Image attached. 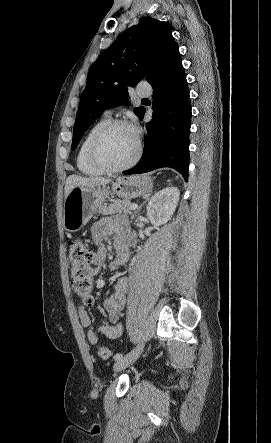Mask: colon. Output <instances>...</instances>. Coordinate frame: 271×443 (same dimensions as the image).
Listing matches in <instances>:
<instances>
[{
    "label": "colon",
    "instance_id": "obj_1",
    "mask_svg": "<svg viewBox=\"0 0 271 443\" xmlns=\"http://www.w3.org/2000/svg\"><path fill=\"white\" fill-rule=\"evenodd\" d=\"M68 259L70 263V274L74 292L82 298L84 304L93 303V269L92 263L94 253L89 242L73 239L68 243ZM97 354L102 359L111 358V351L103 346L97 347Z\"/></svg>",
    "mask_w": 271,
    "mask_h": 443
}]
</instances>
